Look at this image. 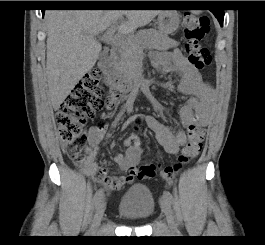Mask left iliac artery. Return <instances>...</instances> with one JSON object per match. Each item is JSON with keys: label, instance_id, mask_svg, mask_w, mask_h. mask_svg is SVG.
<instances>
[{"label": "left iliac artery", "instance_id": "44dca946", "mask_svg": "<svg viewBox=\"0 0 265 245\" xmlns=\"http://www.w3.org/2000/svg\"><path fill=\"white\" fill-rule=\"evenodd\" d=\"M163 196L170 202V203H173V197H172V194L169 192V191H167V190H165L164 192H163Z\"/></svg>", "mask_w": 265, "mask_h": 245}]
</instances>
